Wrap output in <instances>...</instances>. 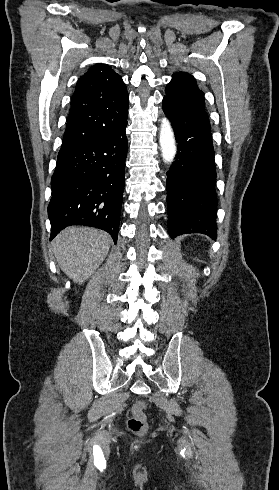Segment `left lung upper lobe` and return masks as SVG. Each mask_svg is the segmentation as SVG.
I'll use <instances>...</instances> for the list:
<instances>
[{
	"label": "left lung upper lobe",
	"instance_id": "obj_1",
	"mask_svg": "<svg viewBox=\"0 0 279 490\" xmlns=\"http://www.w3.org/2000/svg\"><path fill=\"white\" fill-rule=\"evenodd\" d=\"M166 96L189 108L205 111L204 93L197 87L194 77L187 73L173 74L166 87Z\"/></svg>",
	"mask_w": 279,
	"mask_h": 490
}]
</instances>
